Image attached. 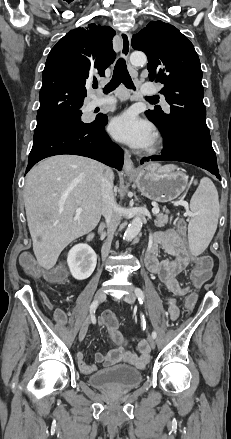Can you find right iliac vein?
I'll use <instances>...</instances> for the list:
<instances>
[{"mask_svg": "<svg viewBox=\"0 0 231 439\" xmlns=\"http://www.w3.org/2000/svg\"><path fill=\"white\" fill-rule=\"evenodd\" d=\"M105 297H106V294H105L104 289H100L95 294L94 302H96L97 305H98L99 303H101L105 299ZM93 312H94V310L90 309V312L86 316V318H85V320H84V322H83V324L81 326V329H80V332H79V340L80 341H82L84 339V337H85V335L87 333V330H88V327H89V324H90Z\"/></svg>", "mask_w": 231, "mask_h": 439, "instance_id": "63e3f726", "label": "right iliac vein"}]
</instances>
